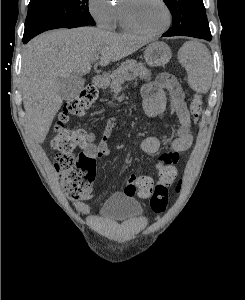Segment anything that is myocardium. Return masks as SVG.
Wrapping results in <instances>:
<instances>
[{"instance_id":"obj_1","label":"myocardium","mask_w":245,"mask_h":300,"mask_svg":"<svg viewBox=\"0 0 245 300\" xmlns=\"http://www.w3.org/2000/svg\"><path fill=\"white\" fill-rule=\"evenodd\" d=\"M132 0H125L124 4L121 6L120 8V13H121V21L123 26L134 33H138L144 36H158L161 35L162 33L166 32L169 27L171 26V22H172V13L170 10L169 5L167 4V2L165 0H158L161 5L163 6V8L165 9L166 15H167V21L164 27H162L159 30L156 31H148L143 29L142 27H140L131 17L130 13H129V9L126 5V2H130Z\"/></svg>"}]
</instances>
